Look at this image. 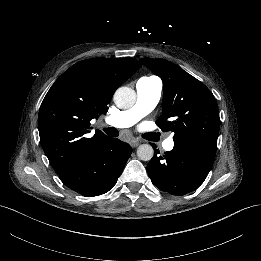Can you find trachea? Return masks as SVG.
I'll use <instances>...</instances> for the list:
<instances>
[{
    "instance_id": "3493384b",
    "label": "trachea",
    "mask_w": 261,
    "mask_h": 261,
    "mask_svg": "<svg viewBox=\"0 0 261 261\" xmlns=\"http://www.w3.org/2000/svg\"><path fill=\"white\" fill-rule=\"evenodd\" d=\"M105 133L111 137H117L119 135V132L116 128L113 127H109L107 129L104 130Z\"/></svg>"
}]
</instances>
